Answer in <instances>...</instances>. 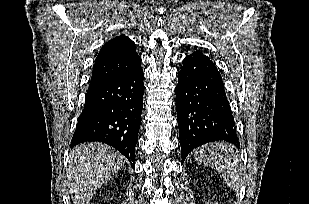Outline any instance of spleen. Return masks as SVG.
<instances>
[{
	"instance_id": "3e777b00",
	"label": "spleen",
	"mask_w": 309,
	"mask_h": 204,
	"mask_svg": "<svg viewBox=\"0 0 309 204\" xmlns=\"http://www.w3.org/2000/svg\"><path fill=\"white\" fill-rule=\"evenodd\" d=\"M193 158L201 165L216 169L230 188H240L243 168L230 145L221 142L204 145L194 151Z\"/></svg>"
}]
</instances>
